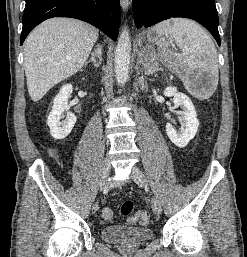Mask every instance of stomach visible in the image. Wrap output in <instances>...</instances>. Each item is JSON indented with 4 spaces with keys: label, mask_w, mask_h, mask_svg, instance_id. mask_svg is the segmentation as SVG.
Segmentation results:
<instances>
[{
    "label": "stomach",
    "mask_w": 247,
    "mask_h": 257,
    "mask_svg": "<svg viewBox=\"0 0 247 257\" xmlns=\"http://www.w3.org/2000/svg\"><path fill=\"white\" fill-rule=\"evenodd\" d=\"M147 37L153 45H144L139 52V62L144 69H149L152 65L161 61L167 66L175 69V71L183 78L186 79L185 66L175 58L172 51L169 49L170 37L158 36L152 30L148 31ZM155 45L157 48H155ZM192 81V78H189Z\"/></svg>",
    "instance_id": "stomach-1"
}]
</instances>
